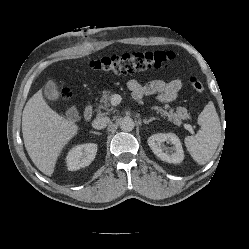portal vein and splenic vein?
Returning a JSON list of instances; mask_svg holds the SVG:
<instances>
[{"instance_id": "obj_1", "label": "portal vein and splenic vein", "mask_w": 249, "mask_h": 249, "mask_svg": "<svg viewBox=\"0 0 249 249\" xmlns=\"http://www.w3.org/2000/svg\"><path fill=\"white\" fill-rule=\"evenodd\" d=\"M122 98L119 94H114L111 97V105L117 106L121 102ZM184 128L193 133V128L190 124H184Z\"/></svg>"}]
</instances>
